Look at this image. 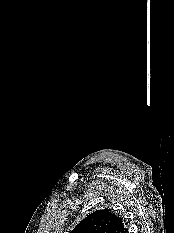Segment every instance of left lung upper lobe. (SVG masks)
<instances>
[{
    "mask_svg": "<svg viewBox=\"0 0 174 233\" xmlns=\"http://www.w3.org/2000/svg\"><path fill=\"white\" fill-rule=\"evenodd\" d=\"M122 218L104 209L83 219L70 233H126Z\"/></svg>",
    "mask_w": 174,
    "mask_h": 233,
    "instance_id": "left-lung-upper-lobe-1",
    "label": "left lung upper lobe"
}]
</instances>
